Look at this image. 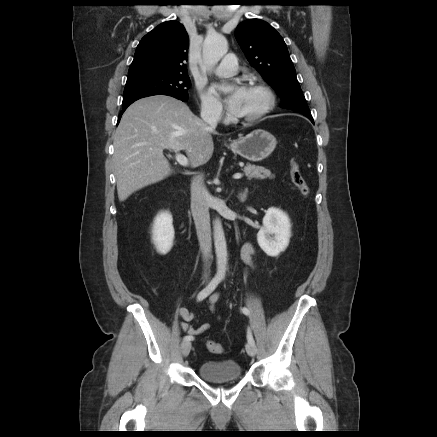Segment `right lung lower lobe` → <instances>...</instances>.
Returning <instances> with one entry per match:
<instances>
[{
    "mask_svg": "<svg viewBox=\"0 0 437 437\" xmlns=\"http://www.w3.org/2000/svg\"><path fill=\"white\" fill-rule=\"evenodd\" d=\"M184 102H185V101H184ZM129 105H130V104H129ZM129 105H123V107H122V112L120 113L119 118H118V122H119V120H120V118H121V115L123 114V112L126 110V108H127Z\"/></svg>",
    "mask_w": 437,
    "mask_h": 437,
    "instance_id": "1",
    "label": "right lung lower lobe"
}]
</instances>
